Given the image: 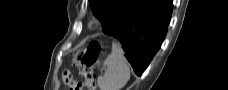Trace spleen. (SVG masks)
<instances>
[{"instance_id":"spleen-1","label":"spleen","mask_w":228,"mask_h":90,"mask_svg":"<svg viewBox=\"0 0 228 90\" xmlns=\"http://www.w3.org/2000/svg\"><path fill=\"white\" fill-rule=\"evenodd\" d=\"M103 65L105 73L97 78L100 90H121L130 79V69L120 45L112 44L111 54Z\"/></svg>"}]
</instances>
